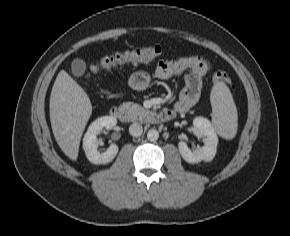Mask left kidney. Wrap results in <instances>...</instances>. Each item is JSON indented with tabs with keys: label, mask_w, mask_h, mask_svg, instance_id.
<instances>
[{
	"label": "left kidney",
	"mask_w": 290,
	"mask_h": 236,
	"mask_svg": "<svg viewBox=\"0 0 290 236\" xmlns=\"http://www.w3.org/2000/svg\"><path fill=\"white\" fill-rule=\"evenodd\" d=\"M193 125L205 137L204 146L198 150L191 151L186 142L180 141L178 143L179 152L188 163L210 162L215 157L218 144V137L214 128L211 122L204 117H196L193 120Z\"/></svg>",
	"instance_id": "5707ae66"
}]
</instances>
